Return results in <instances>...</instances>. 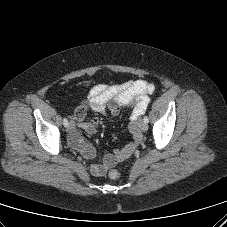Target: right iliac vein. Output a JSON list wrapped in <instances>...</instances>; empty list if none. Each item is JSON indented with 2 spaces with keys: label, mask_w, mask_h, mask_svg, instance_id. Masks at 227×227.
Instances as JSON below:
<instances>
[{
  "label": "right iliac vein",
  "mask_w": 227,
  "mask_h": 227,
  "mask_svg": "<svg viewBox=\"0 0 227 227\" xmlns=\"http://www.w3.org/2000/svg\"><path fill=\"white\" fill-rule=\"evenodd\" d=\"M74 129V124L72 122H70L67 126V131L71 132Z\"/></svg>",
  "instance_id": "1"
}]
</instances>
